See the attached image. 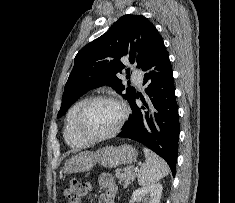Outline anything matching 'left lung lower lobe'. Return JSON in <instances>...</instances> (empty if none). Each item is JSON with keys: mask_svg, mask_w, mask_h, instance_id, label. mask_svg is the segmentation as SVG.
<instances>
[{"mask_svg": "<svg viewBox=\"0 0 235 203\" xmlns=\"http://www.w3.org/2000/svg\"><path fill=\"white\" fill-rule=\"evenodd\" d=\"M143 84L149 98L139 108L134 97L129 102L132 115L118 137L138 141L161 156L175 176L179 140V115L172 68L161 38L142 67Z\"/></svg>", "mask_w": 235, "mask_h": 203, "instance_id": "1", "label": "left lung lower lobe"}]
</instances>
